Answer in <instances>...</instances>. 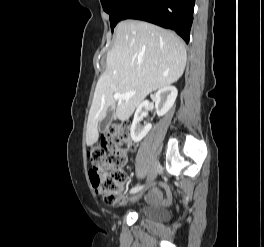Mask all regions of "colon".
<instances>
[{
  "label": "colon",
  "mask_w": 264,
  "mask_h": 247,
  "mask_svg": "<svg viewBox=\"0 0 264 247\" xmlns=\"http://www.w3.org/2000/svg\"><path fill=\"white\" fill-rule=\"evenodd\" d=\"M129 148L128 128L113 124L101 133L99 146L90 151V180L108 205L119 207L124 202L123 188L128 179L124 168Z\"/></svg>",
  "instance_id": "1"
}]
</instances>
